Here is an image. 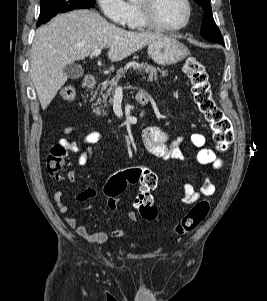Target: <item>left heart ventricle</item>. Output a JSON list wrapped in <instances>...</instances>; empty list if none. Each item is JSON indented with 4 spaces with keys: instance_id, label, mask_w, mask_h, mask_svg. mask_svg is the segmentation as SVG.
<instances>
[{
    "instance_id": "obj_1",
    "label": "left heart ventricle",
    "mask_w": 267,
    "mask_h": 301,
    "mask_svg": "<svg viewBox=\"0 0 267 301\" xmlns=\"http://www.w3.org/2000/svg\"><path fill=\"white\" fill-rule=\"evenodd\" d=\"M186 12L183 0H157L154 7L156 18L161 23L170 26L182 23L186 17Z\"/></svg>"
}]
</instances>
